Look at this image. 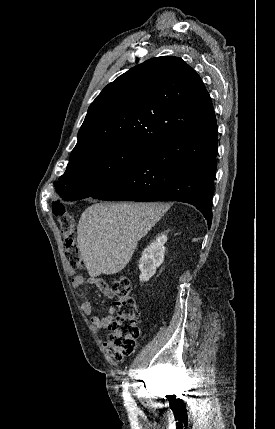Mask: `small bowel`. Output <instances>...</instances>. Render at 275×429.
Listing matches in <instances>:
<instances>
[{
  "instance_id": "obj_1",
  "label": "small bowel",
  "mask_w": 275,
  "mask_h": 429,
  "mask_svg": "<svg viewBox=\"0 0 275 429\" xmlns=\"http://www.w3.org/2000/svg\"><path fill=\"white\" fill-rule=\"evenodd\" d=\"M72 284L75 288H80L84 284V277L82 275H73L71 278ZM89 283L97 286L107 297L112 298L114 295L112 293L110 285L101 277H90ZM81 310L86 315H92L93 305L89 301H83L81 303ZM115 313V308L110 306L108 308V314L105 316L93 315L91 317V323L97 329H103L110 326L113 321Z\"/></svg>"
}]
</instances>
